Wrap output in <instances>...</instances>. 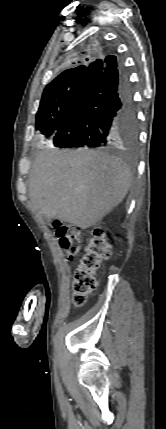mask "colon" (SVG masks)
<instances>
[{
    "instance_id": "colon-1",
    "label": "colon",
    "mask_w": 166,
    "mask_h": 429,
    "mask_svg": "<svg viewBox=\"0 0 166 429\" xmlns=\"http://www.w3.org/2000/svg\"><path fill=\"white\" fill-rule=\"evenodd\" d=\"M54 227L59 246L65 254L71 258L77 255L82 248L79 229L73 224L63 222H56ZM110 254L111 245L106 232L96 228L74 272L72 294L74 305L82 306L94 291L95 274Z\"/></svg>"
}]
</instances>
